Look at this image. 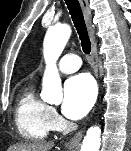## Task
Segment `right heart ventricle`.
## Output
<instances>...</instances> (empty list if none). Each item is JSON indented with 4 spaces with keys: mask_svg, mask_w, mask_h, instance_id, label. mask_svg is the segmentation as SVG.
I'll list each match as a JSON object with an SVG mask.
<instances>
[{
    "mask_svg": "<svg viewBox=\"0 0 131 151\" xmlns=\"http://www.w3.org/2000/svg\"><path fill=\"white\" fill-rule=\"evenodd\" d=\"M50 107L29 86L22 90L15 110V123L19 134L27 140L39 141L53 130L49 117Z\"/></svg>",
    "mask_w": 131,
    "mask_h": 151,
    "instance_id": "e07e8e85",
    "label": "right heart ventricle"
}]
</instances>
